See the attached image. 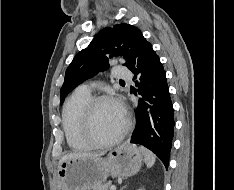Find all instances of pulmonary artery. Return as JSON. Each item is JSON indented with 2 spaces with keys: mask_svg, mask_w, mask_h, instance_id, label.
Listing matches in <instances>:
<instances>
[{
  "mask_svg": "<svg viewBox=\"0 0 234 190\" xmlns=\"http://www.w3.org/2000/svg\"><path fill=\"white\" fill-rule=\"evenodd\" d=\"M114 75L117 78H129L130 77L129 69L123 66H116L114 68ZM77 90L84 93H91V88L87 84L79 86Z\"/></svg>",
  "mask_w": 234,
  "mask_h": 190,
  "instance_id": "e3ab8cb5",
  "label": "pulmonary artery"
}]
</instances>
